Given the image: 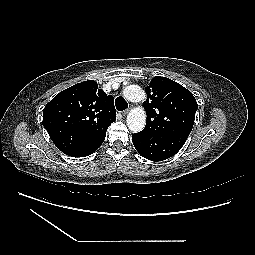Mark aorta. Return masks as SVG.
Masks as SVG:
<instances>
[{"instance_id":"obj_1","label":"aorta","mask_w":255,"mask_h":255,"mask_svg":"<svg viewBox=\"0 0 255 255\" xmlns=\"http://www.w3.org/2000/svg\"><path fill=\"white\" fill-rule=\"evenodd\" d=\"M124 97L131 102H140L146 98L144 90L138 85H129L123 90ZM127 126L130 131L137 133L143 130L146 124V112L141 107H136L127 115Z\"/></svg>"}]
</instances>
